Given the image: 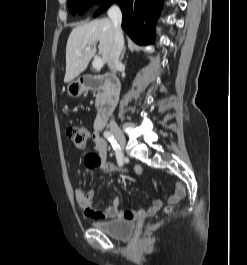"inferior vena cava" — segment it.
Masks as SVG:
<instances>
[{
    "instance_id": "obj_1",
    "label": "inferior vena cava",
    "mask_w": 247,
    "mask_h": 265,
    "mask_svg": "<svg viewBox=\"0 0 247 265\" xmlns=\"http://www.w3.org/2000/svg\"><path fill=\"white\" fill-rule=\"evenodd\" d=\"M108 16L114 26V38L108 57V66L111 71L116 72L117 69L121 66L119 57L124 46V38L121 29L122 13L120 8L117 5L112 6L108 10ZM113 123L114 120L111 121V124Z\"/></svg>"
}]
</instances>
